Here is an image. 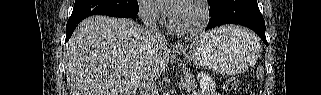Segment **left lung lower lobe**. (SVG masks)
<instances>
[{
	"mask_svg": "<svg viewBox=\"0 0 321 95\" xmlns=\"http://www.w3.org/2000/svg\"><path fill=\"white\" fill-rule=\"evenodd\" d=\"M208 28L222 24H239L252 29L268 46L265 36V22L256 0H216L209 4Z\"/></svg>",
	"mask_w": 321,
	"mask_h": 95,
	"instance_id": "left-lung-lower-lobe-1",
	"label": "left lung lower lobe"
}]
</instances>
